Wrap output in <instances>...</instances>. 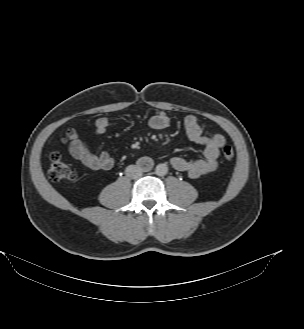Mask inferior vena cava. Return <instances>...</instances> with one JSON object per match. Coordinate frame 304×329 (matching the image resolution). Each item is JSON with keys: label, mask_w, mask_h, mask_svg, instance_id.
Segmentation results:
<instances>
[{"label": "inferior vena cava", "mask_w": 304, "mask_h": 329, "mask_svg": "<svg viewBox=\"0 0 304 329\" xmlns=\"http://www.w3.org/2000/svg\"><path fill=\"white\" fill-rule=\"evenodd\" d=\"M125 174L129 178L136 179L142 175V169L136 165H129L125 170Z\"/></svg>", "instance_id": "602c4592"}]
</instances>
